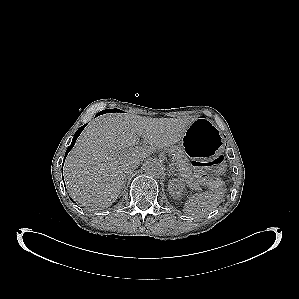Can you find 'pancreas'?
<instances>
[{"label":"pancreas","mask_w":299,"mask_h":299,"mask_svg":"<svg viewBox=\"0 0 299 299\" xmlns=\"http://www.w3.org/2000/svg\"><path fill=\"white\" fill-rule=\"evenodd\" d=\"M169 152L174 154V165L181 177L186 180L193 190H199L201 179L193 174L187 155L178 147H171Z\"/></svg>","instance_id":"cf45deb5"}]
</instances>
